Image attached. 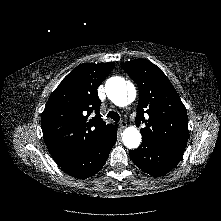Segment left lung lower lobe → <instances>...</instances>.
<instances>
[{
    "label": "left lung lower lobe",
    "instance_id": "0a47b994",
    "mask_svg": "<svg viewBox=\"0 0 221 221\" xmlns=\"http://www.w3.org/2000/svg\"><path fill=\"white\" fill-rule=\"evenodd\" d=\"M183 156V151L164 147L142 138L138 149L130 151L132 161L151 176L160 177L172 170Z\"/></svg>",
    "mask_w": 221,
    "mask_h": 221
}]
</instances>
